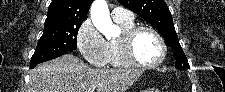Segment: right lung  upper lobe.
<instances>
[{
    "mask_svg": "<svg viewBox=\"0 0 225 92\" xmlns=\"http://www.w3.org/2000/svg\"><path fill=\"white\" fill-rule=\"evenodd\" d=\"M93 0H52L45 25L83 21Z\"/></svg>",
    "mask_w": 225,
    "mask_h": 92,
    "instance_id": "right-lung-upper-lobe-1",
    "label": "right lung upper lobe"
}]
</instances>
